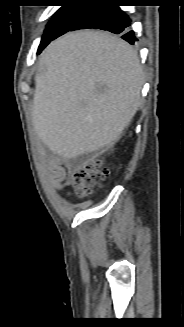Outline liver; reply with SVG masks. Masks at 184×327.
<instances>
[{
    "mask_svg": "<svg viewBox=\"0 0 184 327\" xmlns=\"http://www.w3.org/2000/svg\"><path fill=\"white\" fill-rule=\"evenodd\" d=\"M142 85L138 54L127 42L101 31L68 33L40 57L34 130L67 159L107 149L138 110Z\"/></svg>",
    "mask_w": 184,
    "mask_h": 327,
    "instance_id": "obj_1",
    "label": "liver"
}]
</instances>
